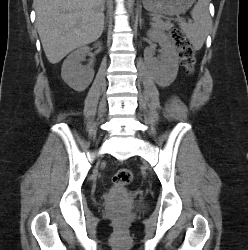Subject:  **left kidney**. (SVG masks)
Wrapping results in <instances>:
<instances>
[{
  "label": "left kidney",
  "mask_w": 248,
  "mask_h": 250,
  "mask_svg": "<svg viewBox=\"0 0 248 250\" xmlns=\"http://www.w3.org/2000/svg\"><path fill=\"white\" fill-rule=\"evenodd\" d=\"M147 37L158 42L163 50L162 63H156L153 68L154 80L159 86H169L175 80L178 72V54L174 45L168 35L159 29H150Z\"/></svg>",
  "instance_id": "5707ae66"
}]
</instances>
